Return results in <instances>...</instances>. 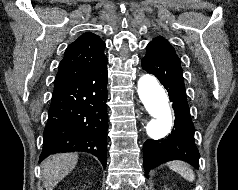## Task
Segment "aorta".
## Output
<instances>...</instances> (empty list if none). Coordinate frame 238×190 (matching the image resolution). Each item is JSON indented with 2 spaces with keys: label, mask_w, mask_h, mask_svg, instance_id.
<instances>
[{
  "label": "aorta",
  "mask_w": 238,
  "mask_h": 190,
  "mask_svg": "<svg viewBox=\"0 0 238 190\" xmlns=\"http://www.w3.org/2000/svg\"><path fill=\"white\" fill-rule=\"evenodd\" d=\"M138 95L150 114L146 131L153 140L165 137L171 130L172 111L164 88L152 75L145 74L138 80Z\"/></svg>",
  "instance_id": "1"
}]
</instances>
